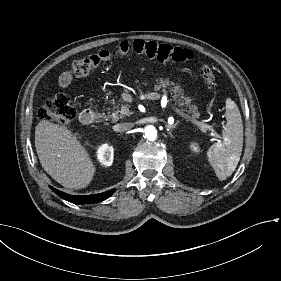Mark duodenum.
Masks as SVG:
<instances>
[{"mask_svg": "<svg viewBox=\"0 0 281 281\" xmlns=\"http://www.w3.org/2000/svg\"><path fill=\"white\" fill-rule=\"evenodd\" d=\"M101 119V113L93 109H84L80 114V120L84 124H93Z\"/></svg>", "mask_w": 281, "mask_h": 281, "instance_id": "410a0bca", "label": "duodenum"}]
</instances>
